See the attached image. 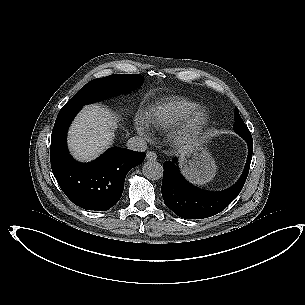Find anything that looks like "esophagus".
Wrapping results in <instances>:
<instances>
[{
	"instance_id": "esophagus-1",
	"label": "esophagus",
	"mask_w": 305,
	"mask_h": 305,
	"mask_svg": "<svg viewBox=\"0 0 305 305\" xmlns=\"http://www.w3.org/2000/svg\"><path fill=\"white\" fill-rule=\"evenodd\" d=\"M157 158L156 154L153 151H148L146 153V159L150 161H155Z\"/></svg>"
}]
</instances>
